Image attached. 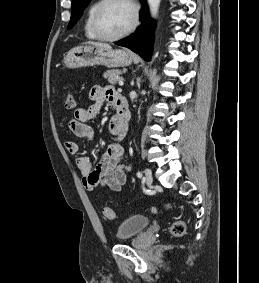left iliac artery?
I'll list each match as a JSON object with an SVG mask.
<instances>
[{"label":"left iliac artery","instance_id":"44dca946","mask_svg":"<svg viewBox=\"0 0 259 283\" xmlns=\"http://www.w3.org/2000/svg\"><path fill=\"white\" fill-rule=\"evenodd\" d=\"M137 176L139 177V178H141L142 177V173L139 171V172H137Z\"/></svg>","mask_w":259,"mask_h":283}]
</instances>
